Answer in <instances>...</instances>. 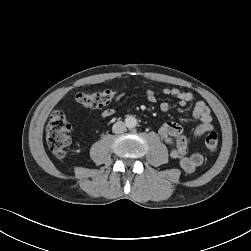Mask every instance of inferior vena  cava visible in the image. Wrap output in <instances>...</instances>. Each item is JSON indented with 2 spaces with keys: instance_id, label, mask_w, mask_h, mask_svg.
Instances as JSON below:
<instances>
[{
  "instance_id": "inferior-vena-cava-1",
  "label": "inferior vena cava",
  "mask_w": 251,
  "mask_h": 251,
  "mask_svg": "<svg viewBox=\"0 0 251 251\" xmlns=\"http://www.w3.org/2000/svg\"><path fill=\"white\" fill-rule=\"evenodd\" d=\"M113 133L120 134L126 131V125L122 121L116 122L112 127Z\"/></svg>"
}]
</instances>
